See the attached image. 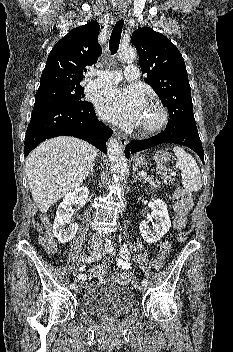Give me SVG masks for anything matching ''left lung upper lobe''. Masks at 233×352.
<instances>
[{
  "instance_id": "left-lung-upper-lobe-1",
  "label": "left lung upper lobe",
  "mask_w": 233,
  "mask_h": 352,
  "mask_svg": "<svg viewBox=\"0 0 233 352\" xmlns=\"http://www.w3.org/2000/svg\"><path fill=\"white\" fill-rule=\"evenodd\" d=\"M131 41L139 53L142 74L147 75L145 82L168 108L167 126H196L185 62L177 47L148 27L135 30Z\"/></svg>"
}]
</instances>
